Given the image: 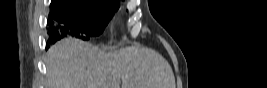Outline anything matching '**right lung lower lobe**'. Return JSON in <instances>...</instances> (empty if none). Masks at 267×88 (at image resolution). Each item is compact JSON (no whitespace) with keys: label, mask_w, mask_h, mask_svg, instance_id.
<instances>
[{"label":"right lung lower lobe","mask_w":267,"mask_h":88,"mask_svg":"<svg viewBox=\"0 0 267 88\" xmlns=\"http://www.w3.org/2000/svg\"><path fill=\"white\" fill-rule=\"evenodd\" d=\"M55 23V22H53ZM51 32L53 34H56V36H54V38L52 40H50L51 43H55L56 41H58L60 38H63L65 36H75L72 27L63 24L61 22L57 23V25L55 27L52 28Z\"/></svg>","instance_id":"obj_1"}]
</instances>
